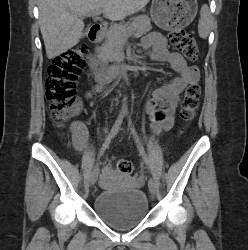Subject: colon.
<instances>
[{
	"instance_id": "obj_1",
	"label": "colon",
	"mask_w": 248,
	"mask_h": 250,
	"mask_svg": "<svg viewBox=\"0 0 248 250\" xmlns=\"http://www.w3.org/2000/svg\"><path fill=\"white\" fill-rule=\"evenodd\" d=\"M168 38L187 59L191 61L198 59L199 49L192 34L183 30H170ZM87 52L88 47L85 44L76 45L58 56L48 69L46 94L52 120L59 126L67 123L80 109L76 80L86 66ZM200 96L199 85L189 84L180 104V118L184 123H190L194 119ZM115 164L124 174H131L133 171L132 163L127 160L118 159Z\"/></svg>"
}]
</instances>
